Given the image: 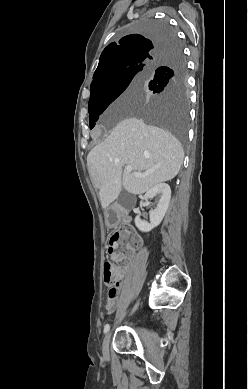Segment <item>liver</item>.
<instances>
[{
  "label": "liver",
  "mask_w": 248,
  "mask_h": 389,
  "mask_svg": "<svg viewBox=\"0 0 248 389\" xmlns=\"http://www.w3.org/2000/svg\"><path fill=\"white\" fill-rule=\"evenodd\" d=\"M134 97L135 85H131L117 104ZM183 159L182 146L171 133L147 125L142 119L128 117L89 152L87 166L94 187L99 189L101 205L106 209L122 188L139 195L170 181L178 174ZM125 165L132 166L133 172L123 170ZM134 172L145 176L136 177Z\"/></svg>",
  "instance_id": "liver-1"
}]
</instances>
